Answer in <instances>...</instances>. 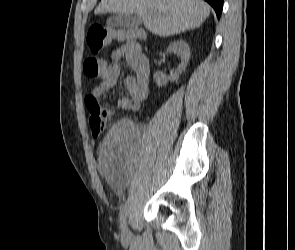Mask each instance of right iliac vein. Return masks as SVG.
Returning a JSON list of instances; mask_svg holds the SVG:
<instances>
[{"label": "right iliac vein", "instance_id": "1", "mask_svg": "<svg viewBox=\"0 0 295 250\" xmlns=\"http://www.w3.org/2000/svg\"><path fill=\"white\" fill-rule=\"evenodd\" d=\"M121 236H122L123 239H126L128 237L127 227H125L124 229H122Z\"/></svg>", "mask_w": 295, "mask_h": 250}]
</instances>
